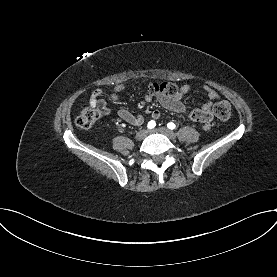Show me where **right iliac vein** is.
I'll use <instances>...</instances> for the list:
<instances>
[{"label": "right iliac vein", "instance_id": "63e3f726", "mask_svg": "<svg viewBox=\"0 0 277 277\" xmlns=\"http://www.w3.org/2000/svg\"><path fill=\"white\" fill-rule=\"evenodd\" d=\"M147 134H148V130H146V129H143V130H140L137 134H136V136H135V138H136V140H143L146 136H147Z\"/></svg>", "mask_w": 277, "mask_h": 277}]
</instances>
